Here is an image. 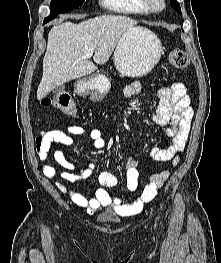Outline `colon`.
<instances>
[{"mask_svg":"<svg viewBox=\"0 0 221 263\" xmlns=\"http://www.w3.org/2000/svg\"><path fill=\"white\" fill-rule=\"evenodd\" d=\"M169 60L172 66L179 69H184L188 66V57L183 50L173 49L170 51ZM45 106H53L60 110L67 116H75L77 114V107L74 100L68 94H56L52 97H46L42 100ZM40 143L38 142V149L40 150Z\"/></svg>","mask_w":221,"mask_h":263,"instance_id":"1","label":"colon"}]
</instances>
